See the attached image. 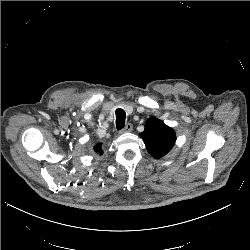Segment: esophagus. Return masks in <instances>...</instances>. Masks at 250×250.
Returning <instances> with one entry per match:
<instances>
[{
	"mask_svg": "<svg viewBox=\"0 0 250 250\" xmlns=\"http://www.w3.org/2000/svg\"><path fill=\"white\" fill-rule=\"evenodd\" d=\"M132 129H133L132 124L128 123V124H126V126L123 129L120 130L119 133L123 134V133L131 132Z\"/></svg>",
	"mask_w": 250,
	"mask_h": 250,
	"instance_id": "esophagus-1",
	"label": "esophagus"
}]
</instances>
